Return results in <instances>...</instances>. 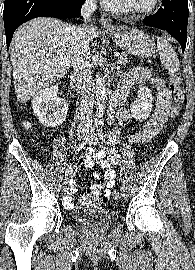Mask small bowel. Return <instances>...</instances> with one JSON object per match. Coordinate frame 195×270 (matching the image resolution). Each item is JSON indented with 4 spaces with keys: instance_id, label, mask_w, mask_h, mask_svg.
<instances>
[{
    "instance_id": "1",
    "label": "small bowel",
    "mask_w": 195,
    "mask_h": 270,
    "mask_svg": "<svg viewBox=\"0 0 195 270\" xmlns=\"http://www.w3.org/2000/svg\"><path fill=\"white\" fill-rule=\"evenodd\" d=\"M116 83V79H112ZM144 80H150L157 91V104L156 108L151 115L150 119L143 125L140 131H137L129 136L130 140L133 142L147 141L155 136L163 124L168 118V113L172 100V93L166 88L164 81L159 77H152L149 72L141 69L131 70L126 74L124 78L125 90H121L116 93L115 98L111 103L110 115L112 118L118 119L122 124L129 121L132 117L129 111L123 108V103L127 97V89L136 83H140ZM120 137V132L115 130L109 135V144L113 146L118 138ZM106 155L108 158L106 159ZM84 163L87 167L91 168L94 165H99L104 169V181L99 183H94L91 186V191L89 194L84 195L81 198L82 204H88L91 202H101L106 204L110 200V190L115 186L116 171L114 165L119 163V156L114 148L109 151L96 150L95 148H90L88 154L84 158ZM93 178L98 180L100 174L98 172L93 173ZM71 187L68 191L67 196L64 198V204L68 208L73 207L72 195L76 193V187L73 181L70 182Z\"/></svg>"
}]
</instances>
